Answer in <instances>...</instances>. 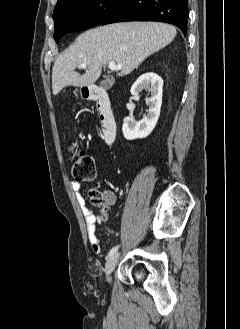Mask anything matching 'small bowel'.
<instances>
[{"label": "small bowel", "instance_id": "small-bowel-1", "mask_svg": "<svg viewBox=\"0 0 240 329\" xmlns=\"http://www.w3.org/2000/svg\"><path fill=\"white\" fill-rule=\"evenodd\" d=\"M71 189L75 193L76 200L84 215L86 232L92 250L94 253H100L102 251V246L99 238L96 235V224L98 222L97 216L86 205V201L81 193L82 185L79 182L73 181L71 182ZM110 202H113L112 198Z\"/></svg>", "mask_w": 240, "mask_h": 329}]
</instances>
